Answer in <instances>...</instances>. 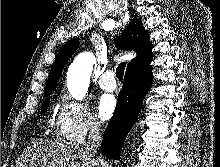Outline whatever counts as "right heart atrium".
I'll list each match as a JSON object with an SVG mask.
<instances>
[{
    "label": "right heart atrium",
    "mask_w": 220,
    "mask_h": 167,
    "mask_svg": "<svg viewBox=\"0 0 220 167\" xmlns=\"http://www.w3.org/2000/svg\"><path fill=\"white\" fill-rule=\"evenodd\" d=\"M60 133L73 144H82L97 135L101 126L86 104L64 95L57 114Z\"/></svg>",
    "instance_id": "d8ad5b80"
}]
</instances>
